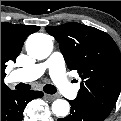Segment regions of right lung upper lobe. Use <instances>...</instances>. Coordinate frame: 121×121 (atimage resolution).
<instances>
[{
	"label": "right lung upper lobe",
	"instance_id": "cb5924a9",
	"mask_svg": "<svg viewBox=\"0 0 121 121\" xmlns=\"http://www.w3.org/2000/svg\"><path fill=\"white\" fill-rule=\"evenodd\" d=\"M39 29V26L1 23V92L9 90L4 84L7 62L16 60L25 39Z\"/></svg>",
	"mask_w": 121,
	"mask_h": 121
}]
</instances>
